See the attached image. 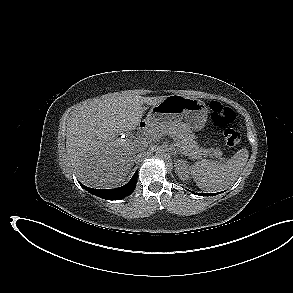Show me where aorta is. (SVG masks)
I'll return each mask as SVG.
<instances>
[{"label": "aorta", "mask_w": 293, "mask_h": 293, "mask_svg": "<svg viewBox=\"0 0 293 293\" xmlns=\"http://www.w3.org/2000/svg\"><path fill=\"white\" fill-rule=\"evenodd\" d=\"M156 155L158 156H165L168 152V149L163 146H158L156 149Z\"/></svg>", "instance_id": "aorta-1"}]
</instances>
